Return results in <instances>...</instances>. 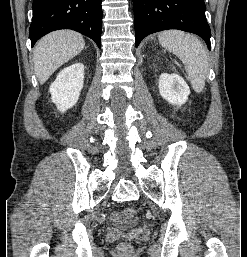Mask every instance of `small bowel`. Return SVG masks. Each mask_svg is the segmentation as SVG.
Wrapping results in <instances>:
<instances>
[{"instance_id": "small-bowel-1", "label": "small bowel", "mask_w": 247, "mask_h": 257, "mask_svg": "<svg viewBox=\"0 0 247 257\" xmlns=\"http://www.w3.org/2000/svg\"><path fill=\"white\" fill-rule=\"evenodd\" d=\"M111 219L113 223L116 224L117 226H121V227L125 226V222L119 213H116V212L113 213L111 216Z\"/></svg>"}]
</instances>
